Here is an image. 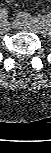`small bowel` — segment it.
Segmentation results:
<instances>
[{
	"label": "small bowel",
	"mask_w": 51,
	"mask_h": 153,
	"mask_svg": "<svg viewBox=\"0 0 51 153\" xmlns=\"http://www.w3.org/2000/svg\"><path fill=\"white\" fill-rule=\"evenodd\" d=\"M6 2H8V3H11V2H13L14 0H5Z\"/></svg>",
	"instance_id": "obj_1"
}]
</instances>
